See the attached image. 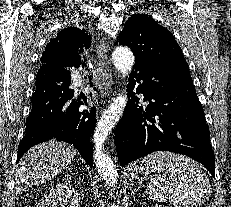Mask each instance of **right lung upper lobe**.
I'll use <instances>...</instances> for the list:
<instances>
[{"instance_id":"right-lung-upper-lobe-1","label":"right lung upper lobe","mask_w":231,"mask_h":207,"mask_svg":"<svg viewBox=\"0 0 231 207\" xmlns=\"http://www.w3.org/2000/svg\"><path fill=\"white\" fill-rule=\"evenodd\" d=\"M88 36H78L65 29L60 31L57 38L51 40L46 46L41 62L43 65L79 67L83 61L81 54L86 45L90 46L91 37Z\"/></svg>"}]
</instances>
